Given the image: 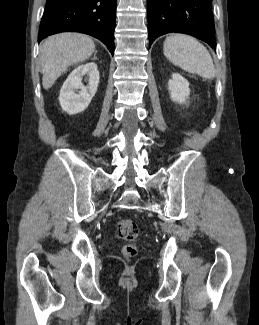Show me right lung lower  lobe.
<instances>
[{
	"mask_svg": "<svg viewBox=\"0 0 259 325\" xmlns=\"http://www.w3.org/2000/svg\"><path fill=\"white\" fill-rule=\"evenodd\" d=\"M117 0H47L38 41L59 32H81L101 40L114 53Z\"/></svg>",
	"mask_w": 259,
	"mask_h": 325,
	"instance_id": "98d812e1",
	"label": "right lung lower lobe"
}]
</instances>
